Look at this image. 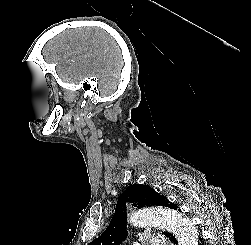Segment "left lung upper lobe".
<instances>
[{
    "label": "left lung upper lobe",
    "instance_id": "1",
    "mask_svg": "<svg viewBox=\"0 0 251 245\" xmlns=\"http://www.w3.org/2000/svg\"><path fill=\"white\" fill-rule=\"evenodd\" d=\"M126 202L132 203L137 208L163 206L174 210L178 209L176 204L170 202L149 185L132 184L119 196L115 213L107 229L89 245H120L125 241L127 237ZM166 233L163 232L164 235Z\"/></svg>",
    "mask_w": 251,
    "mask_h": 245
}]
</instances>
